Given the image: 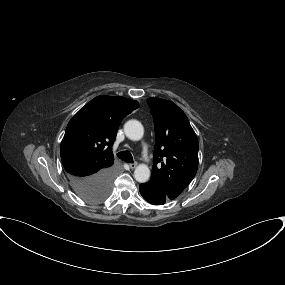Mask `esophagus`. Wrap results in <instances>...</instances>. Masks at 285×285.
I'll return each mask as SVG.
<instances>
[{
  "label": "esophagus",
  "mask_w": 285,
  "mask_h": 285,
  "mask_svg": "<svg viewBox=\"0 0 285 285\" xmlns=\"http://www.w3.org/2000/svg\"><path fill=\"white\" fill-rule=\"evenodd\" d=\"M136 166H137V163H136V162L129 164V167H130L131 169H134Z\"/></svg>",
  "instance_id": "1"
}]
</instances>
